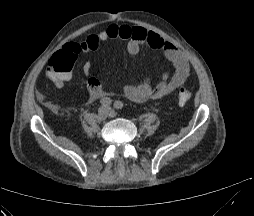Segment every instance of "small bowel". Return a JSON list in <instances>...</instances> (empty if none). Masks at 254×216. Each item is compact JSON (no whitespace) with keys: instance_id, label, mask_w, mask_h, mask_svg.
<instances>
[{"instance_id":"small-bowel-1","label":"small bowel","mask_w":254,"mask_h":216,"mask_svg":"<svg viewBox=\"0 0 254 216\" xmlns=\"http://www.w3.org/2000/svg\"><path fill=\"white\" fill-rule=\"evenodd\" d=\"M110 39L125 40L127 42V51L133 57L138 56L143 45H148L155 50L162 51L174 66L172 76L169 77L167 73L164 74L162 80L157 84H153L149 78H146L140 84L125 85L123 93L130 100L135 102H144L149 99L161 100L171 95L186 82L190 73V66L184 54L165 38L141 26L109 25L99 33L90 34L82 43H66L61 52L73 56L76 52L74 49L75 45H79L81 51H95L100 42ZM52 58L49 59L48 65H50ZM83 72L88 76L89 99L94 101L104 98L108 92L99 79L91 75L90 61L84 63ZM49 77L57 88H62L66 82L72 79V73L49 74Z\"/></svg>"}]
</instances>
